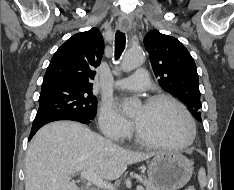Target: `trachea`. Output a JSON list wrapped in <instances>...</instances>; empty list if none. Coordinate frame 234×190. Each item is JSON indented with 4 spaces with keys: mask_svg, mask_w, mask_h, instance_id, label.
Returning <instances> with one entry per match:
<instances>
[{
    "mask_svg": "<svg viewBox=\"0 0 234 190\" xmlns=\"http://www.w3.org/2000/svg\"><path fill=\"white\" fill-rule=\"evenodd\" d=\"M126 37L121 31H117L115 34V60H118L125 49Z\"/></svg>",
    "mask_w": 234,
    "mask_h": 190,
    "instance_id": "trachea-1",
    "label": "trachea"
}]
</instances>
